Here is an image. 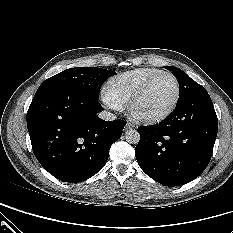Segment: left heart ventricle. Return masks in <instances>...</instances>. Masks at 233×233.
<instances>
[{
	"label": "left heart ventricle",
	"instance_id": "left-heart-ventricle-1",
	"mask_svg": "<svg viewBox=\"0 0 233 233\" xmlns=\"http://www.w3.org/2000/svg\"><path fill=\"white\" fill-rule=\"evenodd\" d=\"M176 94L174 80L167 75L158 77L136 103L135 111L143 115H154L166 110Z\"/></svg>",
	"mask_w": 233,
	"mask_h": 233
}]
</instances>
